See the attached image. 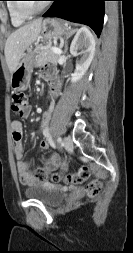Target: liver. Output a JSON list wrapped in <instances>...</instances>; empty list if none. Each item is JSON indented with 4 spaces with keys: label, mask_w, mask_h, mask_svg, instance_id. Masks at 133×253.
Here are the masks:
<instances>
[{
    "label": "liver",
    "mask_w": 133,
    "mask_h": 253,
    "mask_svg": "<svg viewBox=\"0 0 133 253\" xmlns=\"http://www.w3.org/2000/svg\"><path fill=\"white\" fill-rule=\"evenodd\" d=\"M41 26L42 19H36L15 30L7 38L4 53L11 74L17 68L24 51L38 38Z\"/></svg>",
    "instance_id": "liver-1"
}]
</instances>
